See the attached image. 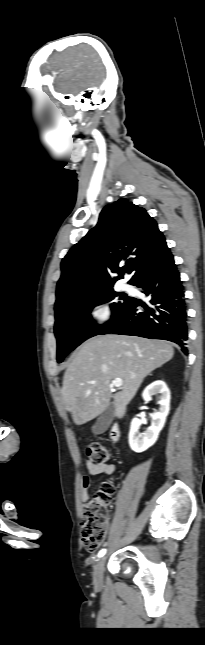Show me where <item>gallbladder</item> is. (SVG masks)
<instances>
[{"instance_id": "gallbladder-1", "label": "gallbladder", "mask_w": 205, "mask_h": 645, "mask_svg": "<svg viewBox=\"0 0 205 645\" xmlns=\"http://www.w3.org/2000/svg\"><path fill=\"white\" fill-rule=\"evenodd\" d=\"M114 416V405L111 402L108 407L101 413L94 425L92 426V432L95 435L104 433L110 426Z\"/></svg>"}]
</instances>
